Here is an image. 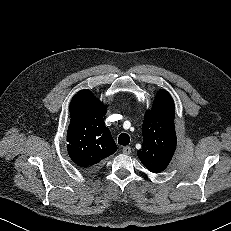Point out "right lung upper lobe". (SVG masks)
Segmentation results:
<instances>
[{
	"label": "right lung upper lobe",
	"mask_w": 231,
	"mask_h": 231,
	"mask_svg": "<svg viewBox=\"0 0 231 231\" xmlns=\"http://www.w3.org/2000/svg\"><path fill=\"white\" fill-rule=\"evenodd\" d=\"M71 121L67 131V149L72 161L84 169L99 166L116 152L117 146L103 116L106 107L90 90L79 91L69 106Z\"/></svg>",
	"instance_id": "obj_1"
}]
</instances>
